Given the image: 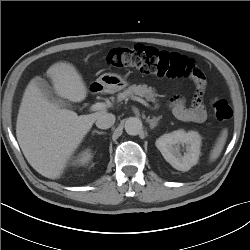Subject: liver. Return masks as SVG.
I'll list each match as a JSON object with an SVG mask.
<instances>
[{"mask_svg": "<svg viewBox=\"0 0 250 250\" xmlns=\"http://www.w3.org/2000/svg\"><path fill=\"white\" fill-rule=\"evenodd\" d=\"M55 93L71 102H81L87 87L77 69L68 62H57L46 71ZM100 110L78 116L76 112L51 102L38 82L25 89L19 108L16 136L28 163L42 176L61 177L68 160L92 128Z\"/></svg>", "mask_w": 250, "mask_h": 250, "instance_id": "6515ba94", "label": "liver"}]
</instances>
